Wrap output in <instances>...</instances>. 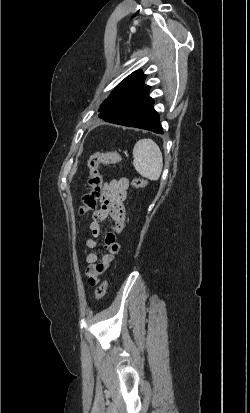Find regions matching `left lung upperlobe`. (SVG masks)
Wrapping results in <instances>:
<instances>
[{
  "label": "left lung upper lobe",
  "mask_w": 250,
  "mask_h": 413,
  "mask_svg": "<svg viewBox=\"0 0 250 413\" xmlns=\"http://www.w3.org/2000/svg\"><path fill=\"white\" fill-rule=\"evenodd\" d=\"M146 75L141 70L133 72L126 77L116 88L111 92L107 100H105L99 108V117L103 118L113 113H116L121 108V103L124 98L133 93L141 84H143Z\"/></svg>",
  "instance_id": "obj_1"
}]
</instances>
